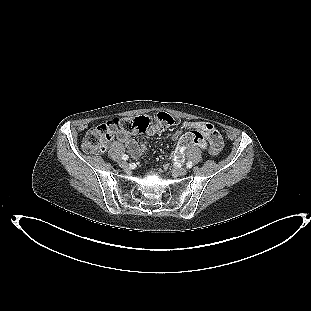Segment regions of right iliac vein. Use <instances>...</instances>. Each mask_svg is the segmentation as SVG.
<instances>
[{"instance_id": "right-iliac-vein-1", "label": "right iliac vein", "mask_w": 311, "mask_h": 311, "mask_svg": "<svg viewBox=\"0 0 311 311\" xmlns=\"http://www.w3.org/2000/svg\"><path fill=\"white\" fill-rule=\"evenodd\" d=\"M120 166L122 168H127L128 167V163L126 161H122V162H120Z\"/></svg>"}]
</instances>
